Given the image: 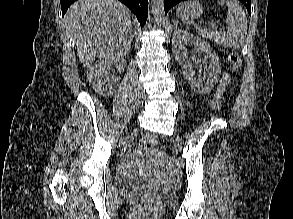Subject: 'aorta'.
Segmentation results:
<instances>
[{
  "instance_id": "aorta-1",
  "label": "aorta",
  "mask_w": 293,
  "mask_h": 219,
  "mask_svg": "<svg viewBox=\"0 0 293 219\" xmlns=\"http://www.w3.org/2000/svg\"><path fill=\"white\" fill-rule=\"evenodd\" d=\"M151 9L155 21L159 22L164 18L163 0H151Z\"/></svg>"
}]
</instances>
